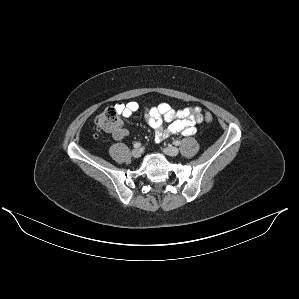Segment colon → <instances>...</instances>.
Returning a JSON list of instances; mask_svg holds the SVG:
<instances>
[{"label": "colon", "mask_w": 299, "mask_h": 299, "mask_svg": "<svg viewBox=\"0 0 299 299\" xmlns=\"http://www.w3.org/2000/svg\"><path fill=\"white\" fill-rule=\"evenodd\" d=\"M204 119L210 123L213 120V116L211 113L206 112L204 114ZM95 124L100 130L112 134L117 133L122 129V120L115 107H108L101 112L96 117Z\"/></svg>", "instance_id": "1"}]
</instances>
